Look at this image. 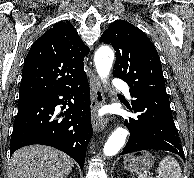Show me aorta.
I'll use <instances>...</instances> for the list:
<instances>
[{"label": "aorta", "instance_id": "aorta-1", "mask_svg": "<svg viewBox=\"0 0 194 178\" xmlns=\"http://www.w3.org/2000/svg\"><path fill=\"white\" fill-rule=\"evenodd\" d=\"M114 60V52L108 46H101L95 53L94 61L98 72V75L103 82L110 74ZM128 135L127 129L123 127L116 128L109 136L107 142L104 145L103 152L106 156H114L124 146Z\"/></svg>", "mask_w": 194, "mask_h": 178}]
</instances>
